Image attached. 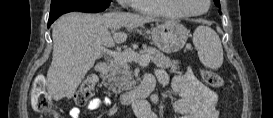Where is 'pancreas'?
Listing matches in <instances>:
<instances>
[{"label": "pancreas", "instance_id": "obj_1", "mask_svg": "<svg viewBox=\"0 0 273 118\" xmlns=\"http://www.w3.org/2000/svg\"><path fill=\"white\" fill-rule=\"evenodd\" d=\"M126 51L132 52L133 50L129 48ZM143 52L144 55L149 56L152 63L160 68H171L172 70H177L178 68L177 61L171 60L156 48L143 45ZM128 62L129 61L113 57L110 60L107 73L102 77L104 86L115 94L129 90L134 86V82L131 80L130 66Z\"/></svg>", "mask_w": 273, "mask_h": 118}]
</instances>
